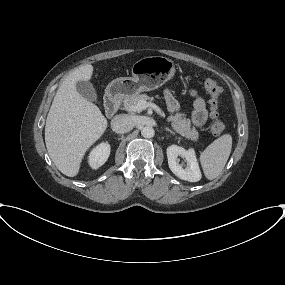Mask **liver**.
Listing matches in <instances>:
<instances>
[{
    "instance_id": "obj_1",
    "label": "liver",
    "mask_w": 285,
    "mask_h": 285,
    "mask_svg": "<svg viewBox=\"0 0 285 285\" xmlns=\"http://www.w3.org/2000/svg\"><path fill=\"white\" fill-rule=\"evenodd\" d=\"M93 66L83 65L70 73L57 90L45 125V143L56 167L66 176L78 174L86 151L105 132L107 119L76 89L78 81H88Z\"/></svg>"
}]
</instances>
